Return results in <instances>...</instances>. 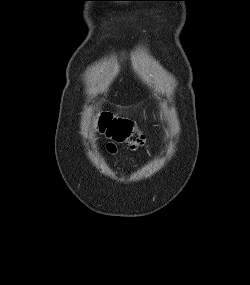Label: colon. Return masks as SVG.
<instances>
[{"mask_svg":"<svg viewBox=\"0 0 250 285\" xmlns=\"http://www.w3.org/2000/svg\"><path fill=\"white\" fill-rule=\"evenodd\" d=\"M99 131L116 143H125L131 149H137L145 144L142 132L128 119L113 116L111 113L101 114Z\"/></svg>","mask_w":250,"mask_h":285,"instance_id":"obj_1","label":"colon"}]
</instances>
